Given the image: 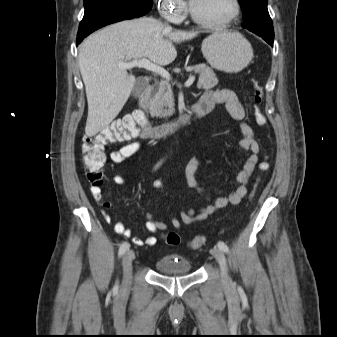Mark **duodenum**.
<instances>
[{"mask_svg":"<svg viewBox=\"0 0 337 337\" xmlns=\"http://www.w3.org/2000/svg\"><path fill=\"white\" fill-rule=\"evenodd\" d=\"M149 108L150 83L148 81L147 85L141 91V94L138 98V108L132 116L138 127V135L144 139L162 138L176 130L183 128L211 110L209 105H204L201 102H198L192 105L181 116L163 124L152 125L150 124L147 117V111Z\"/></svg>","mask_w":337,"mask_h":337,"instance_id":"410a0bca","label":"duodenum"}]
</instances>
